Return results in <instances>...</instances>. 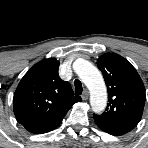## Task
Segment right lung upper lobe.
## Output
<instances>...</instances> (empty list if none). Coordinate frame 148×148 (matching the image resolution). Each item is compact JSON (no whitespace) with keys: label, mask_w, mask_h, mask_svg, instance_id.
<instances>
[{"label":"right lung upper lobe","mask_w":148,"mask_h":148,"mask_svg":"<svg viewBox=\"0 0 148 148\" xmlns=\"http://www.w3.org/2000/svg\"><path fill=\"white\" fill-rule=\"evenodd\" d=\"M59 62L50 58L35 64L21 79L13 99L16 119L34 134L59 126L70 107L81 101L71 85L60 79Z\"/></svg>","instance_id":"right-lung-upper-lobe-1"}]
</instances>
